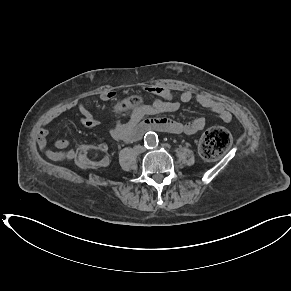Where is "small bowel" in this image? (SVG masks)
<instances>
[{
    "label": "small bowel",
    "mask_w": 291,
    "mask_h": 291,
    "mask_svg": "<svg viewBox=\"0 0 291 291\" xmlns=\"http://www.w3.org/2000/svg\"><path fill=\"white\" fill-rule=\"evenodd\" d=\"M144 90L156 96V99L151 104L136 106L127 121L117 122L112 126L109 132L115 140L126 143L136 141L147 132L146 129L148 131L158 130L187 135L203 130L207 124L205 117H198L189 122H181L166 117H154L159 114L175 112L182 103H188L192 100H195L200 106L216 115L221 122L229 123L232 120V115L226 106L207 94H194L190 90H184L175 94L169 88L162 85H147L144 87ZM116 96L117 93L115 91L109 90L100 94L99 98L103 101H112ZM70 110H77L80 113L79 121L81 125L93 127L97 124V119L88 109L84 100L71 101L47 115L38 131L37 143L41 152L50 160H71L75 156L74 151L69 149L70 141L67 139L58 138L53 141V147L58 149V151H54L47 146L49 124ZM102 148L106 149V146L102 145Z\"/></svg>",
    "instance_id": "1"
}]
</instances>
